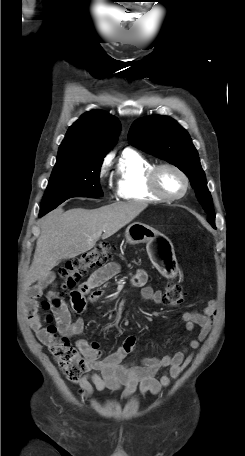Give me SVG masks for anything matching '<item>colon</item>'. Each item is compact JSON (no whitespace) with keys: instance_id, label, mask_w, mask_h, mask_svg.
<instances>
[{"instance_id":"1","label":"colon","mask_w":245,"mask_h":456,"mask_svg":"<svg viewBox=\"0 0 245 456\" xmlns=\"http://www.w3.org/2000/svg\"><path fill=\"white\" fill-rule=\"evenodd\" d=\"M110 243H100L96 247L66 262L60 269L61 286L63 289L73 288L81 277L91 268L105 266L111 258ZM184 290L176 282H168L165 287L164 303L169 306H179L184 301ZM59 297V296H58ZM44 308L49 303L43 304ZM48 332L52 335L49 350L56 363L72 382H79L90 371V364L84 360L80 352L70 343L67 337H58L56 327L49 325Z\"/></svg>"}]
</instances>
